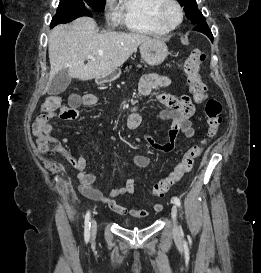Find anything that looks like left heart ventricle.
<instances>
[{"label": "left heart ventricle", "instance_id": "b2bd125f", "mask_svg": "<svg viewBox=\"0 0 261 273\" xmlns=\"http://www.w3.org/2000/svg\"><path fill=\"white\" fill-rule=\"evenodd\" d=\"M164 18L169 24H174L178 20V11L175 7L169 6L164 13Z\"/></svg>", "mask_w": 261, "mask_h": 273}]
</instances>
